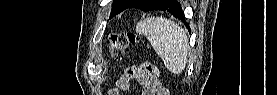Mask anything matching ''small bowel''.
Returning a JSON list of instances; mask_svg holds the SVG:
<instances>
[{
  "instance_id": "c3829d8e",
  "label": "small bowel",
  "mask_w": 277,
  "mask_h": 95,
  "mask_svg": "<svg viewBox=\"0 0 277 95\" xmlns=\"http://www.w3.org/2000/svg\"><path fill=\"white\" fill-rule=\"evenodd\" d=\"M153 70L154 67L150 64L127 68L125 75L116 82L120 91L110 90L108 94H121V91L128 94L131 88V79L138 78L143 84L142 95H165L166 89L158 85L153 77Z\"/></svg>"
}]
</instances>
